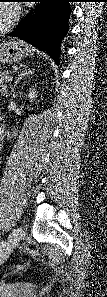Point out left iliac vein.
Listing matches in <instances>:
<instances>
[{
    "mask_svg": "<svg viewBox=\"0 0 107 297\" xmlns=\"http://www.w3.org/2000/svg\"><path fill=\"white\" fill-rule=\"evenodd\" d=\"M24 230L22 227L15 228L9 238V241L6 245V248L2 251V259L3 256L10 254V252L18 245L20 239L22 238Z\"/></svg>",
    "mask_w": 107,
    "mask_h": 297,
    "instance_id": "obj_1",
    "label": "left iliac vein"
}]
</instances>
